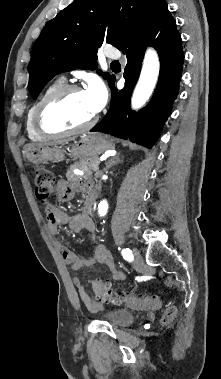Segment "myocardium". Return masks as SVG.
Here are the masks:
<instances>
[{
  "label": "myocardium",
  "mask_w": 221,
  "mask_h": 379,
  "mask_svg": "<svg viewBox=\"0 0 221 379\" xmlns=\"http://www.w3.org/2000/svg\"><path fill=\"white\" fill-rule=\"evenodd\" d=\"M74 92H82V90L79 86L74 85V84L63 85L55 89L54 91H52L40 102L34 114L35 128L40 134H42L45 137H50V138L69 136V135L83 132L91 128L97 122L98 116L95 114L86 123L76 126V127L65 128V129L63 128L54 129L47 126L45 122V117L48 111L50 110V108H52V106H54L56 103L60 102L66 96Z\"/></svg>",
  "instance_id": "obj_1"
}]
</instances>
